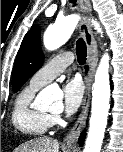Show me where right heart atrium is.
<instances>
[{
	"label": "right heart atrium",
	"instance_id": "right-heart-atrium-1",
	"mask_svg": "<svg viewBox=\"0 0 123 152\" xmlns=\"http://www.w3.org/2000/svg\"><path fill=\"white\" fill-rule=\"evenodd\" d=\"M59 120H60V118L58 115H51L50 116L51 126L56 125L59 122Z\"/></svg>",
	"mask_w": 123,
	"mask_h": 152
}]
</instances>
